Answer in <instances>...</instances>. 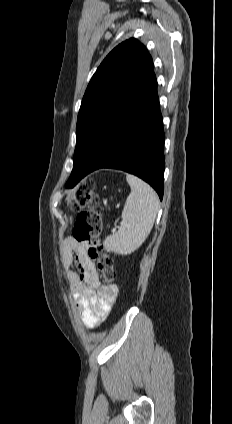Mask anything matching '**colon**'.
I'll list each match as a JSON object with an SVG mask.
<instances>
[{
	"label": "colon",
	"instance_id": "1",
	"mask_svg": "<svg viewBox=\"0 0 232 424\" xmlns=\"http://www.w3.org/2000/svg\"><path fill=\"white\" fill-rule=\"evenodd\" d=\"M66 204L71 212H78L72 231L74 239L88 245V254L97 262L106 282L113 283L116 279L115 262L100 239L102 209L97 204L94 180L86 179L70 191Z\"/></svg>",
	"mask_w": 232,
	"mask_h": 424
}]
</instances>
